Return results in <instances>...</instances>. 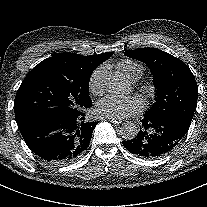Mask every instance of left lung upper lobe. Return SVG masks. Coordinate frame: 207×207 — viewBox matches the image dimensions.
<instances>
[{
  "label": "left lung upper lobe",
  "instance_id": "obj_1",
  "mask_svg": "<svg viewBox=\"0 0 207 207\" xmlns=\"http://www.w3.org/2000/svg\"><path fill=\"white\" fill-rule=\"evenodd\" d=\"M124 54L145 63L153 75L157 100L145 116H171L190 126L197 105L198 86L189 67L171 54L154 48Z\"/></svg>",
  "mask_w": 207,
  "mask_h": 207
}]
</instances>
